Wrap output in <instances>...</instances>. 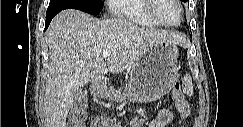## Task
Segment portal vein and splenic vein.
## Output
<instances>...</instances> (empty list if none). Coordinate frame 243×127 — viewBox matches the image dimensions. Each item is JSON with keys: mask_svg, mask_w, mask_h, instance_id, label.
Wrapping results in <instances>:
<instances>
[{"mask_svg": "<svg viewBox=\"0 0 243 127\" xmlns=\"http://www.w3.org/2000/svg\"><path fill=\"white\" fill-rule=\"evenodd\" d=\"M110 54H111V50H104L102 52V57L107 58L108 56H110Z\"/></svg>", "mask_w": 243, "mask_h": 127, "instance_id": "1", "label": "portal vein and splenic vein"}]
</instances>
